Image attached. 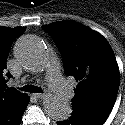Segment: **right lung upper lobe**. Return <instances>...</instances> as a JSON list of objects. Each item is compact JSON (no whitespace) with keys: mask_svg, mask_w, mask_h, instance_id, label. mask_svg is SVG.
Returning a JSON list of instances; mask_svg holds the SVG:
<instances>
[{"mask_svg":"<svg viewBox=\"0 0 125 125\" xmlns=\"http://www.w3.org/2000/svg\"><path fill=\"white\" fill-rule=\"evenodd\" d=\"M26 27H1L0 26V110L18 100L24 94L15 88H8L5 84L6 60L13 41L25 31ZM9 77L10 74L8 73Z\"/></svg>","mask_w":125,"mask_h":125,"instance_id":"1","label":"right lung upper lobe"}]
</instances>
